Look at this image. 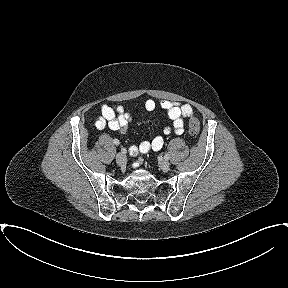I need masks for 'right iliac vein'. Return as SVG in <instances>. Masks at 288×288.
Wrapping results in <instances>:
<instances>
[{
	"mask_svg": "<svg viewBox=\"0 0 288 288\" xmlns=\"http://www.w3.org/2000/svg\"><path fill=\"white\" fill-rule=\"evenodd\" d=\"M127 162V158L123 153H118L116 155V163L120 166L125 165Z\"/></svg>",
	"mask_w": 288,
	"mask_h": 288,
	"instance_id": "63e3f726",
	"label": "right iliac vein"
}]
</instances>
